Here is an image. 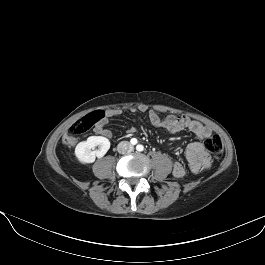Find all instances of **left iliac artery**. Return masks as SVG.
<instances>
[{
    "instance_id": "1",
    "label": "left iliac artery",
    "mask_w": 265,
    "mask_h": 265,
    "mask_svg": "<svg viewBox=\"0 0 265 265\" xmlns=\"http://www.w3.org/2000/svg\"><path fill=\"white\" fill-rule=\"evenodd\" d=\"M136 149L138 151H143L144 150V147H143V145H137Z\"/></svg>"
}]
</instances>
